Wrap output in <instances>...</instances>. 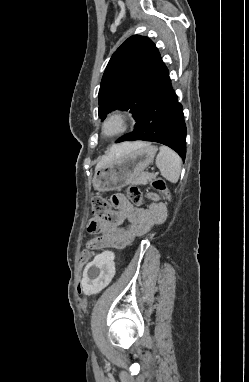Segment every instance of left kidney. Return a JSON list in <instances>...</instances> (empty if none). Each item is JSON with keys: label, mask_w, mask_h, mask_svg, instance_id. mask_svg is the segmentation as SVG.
<instances>
[{"label": "left kidney", "mask_w": 249, "mask_h": 382, "mask_svg": "<svg viewBox=\"0 0 249 382\" xmlns=\"http://www.w3.org/2000/svg\"><path fill=\"white\" fill-rule=\"evenodd\" d=\"M114 254L107 250H100L94 260L87 265L83 276H81L82 291L80 298H92L94 293H103L104 288L109 287L110 281L117 276V267L114 266ZM96 267L98 270H88Z\"/></svg>", "instance_id": "obj_1"}]
</instances>
